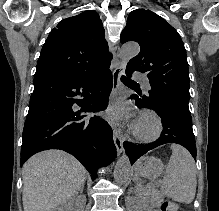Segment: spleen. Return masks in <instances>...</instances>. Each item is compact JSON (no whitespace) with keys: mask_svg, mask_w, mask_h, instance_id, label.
Wrapping results in <instances>:
<instances>
[{"mask_svg":"<svg viewBox=\"0 0 219 211\" xmlns=\"http://www.w3.org/2000/svg\"><path fill=\"white\" fill-rule=\"evenodd\" d=\"M172 155L166 167L161 189L174 201L191 203L196 193L195 161L188 149L172 143Z\"/></svg>","mask_w":219,"mask_h":211,"instance_id":"spleen-1","label":"spleen"}]
</instances>
